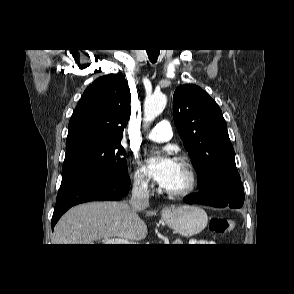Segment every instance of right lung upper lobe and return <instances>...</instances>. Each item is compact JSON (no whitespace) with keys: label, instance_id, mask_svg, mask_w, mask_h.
<instances>
[{"label":"right lung upper lobe","instance_id":"cb5924a9","mask_svg":"<svg viewBox=\"0 0 294 294\" xmlns=\"http://www.w3.org/2000/svg\"><path fill=\"white\" fill-rule=\"evenodd\" d=\"M130 99L123 76L109 74L95 80L73 112L66 144L80 140L121 142L130 115Z\"/></svg>","mask_w":294,"mask_h":294}]
</instances>
